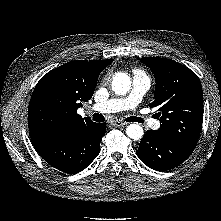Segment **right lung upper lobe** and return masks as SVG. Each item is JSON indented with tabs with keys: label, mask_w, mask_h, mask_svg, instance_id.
<instances>
[{
	"label": "right lung upper lobe",
	"mask_w": 221,
	"mask_h": 221,
	"mask_svg": "<svg viewBox=\"0 0 221 221\" xmlns=\"http://www.w3.org/2000/svg\"><path fill=\"white\" fill-rule=\"evenodd\" d=\"M112 61L75 60L45 74L29 103L30 134L55 135L93 123L82 118L77 109L92 97L99 74Z\"/></svg>",
	"instance_id": "right-lung-upper-lobe-1"
}]
</instances>
